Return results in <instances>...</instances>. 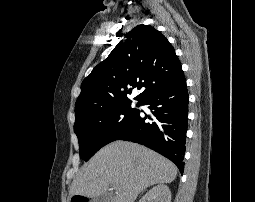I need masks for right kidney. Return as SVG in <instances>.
<instances>
[{"label": "right kidney", "mask_w": 255, "mask_h": 202, "mask_svg": "<svg viewBox=\"0 0 255 202\" xmlns=\"http://www.w3.org/2000/svg\"><path fill=\"white\" fill-rule=\"evenodd\" d=\"M171 202V192L167 185L160 184L150 189L139 202Z\"/></svg>", "instance_id": "obj_1"}]
</instances>
